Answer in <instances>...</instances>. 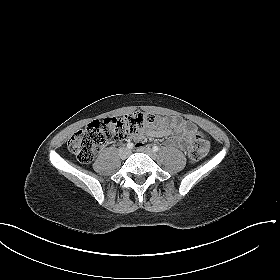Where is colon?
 <instances>
[{"instance_id":"5ec220e1","label":"colon","mask_w":280,"mask_h":280,"mask_svg":"<svg viewBox=\"0 0 280 280\" xmlns=\"http://www.w3.org/2000/svg\"><path fill=\"white\" fill-rule=\"evenodd\" d=\"M155 121L150 113H133L122 118L96 120L76 132L68 142L69 151L83 164L90 163L99 149L110 141H119L138 133ZM209 150L208 140L200 133L193 136L188 151L192 162L201 160Z\"/></svg>"}]
</instances>
